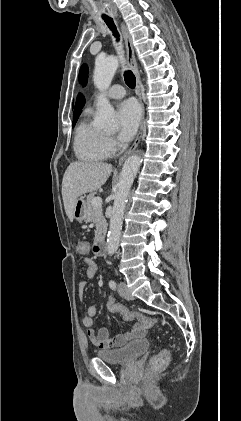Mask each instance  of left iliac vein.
I'll return each mask as SVG.
<instances>
[{
	"label": "left iliac vein",
	"instance_id": "obj_1",
	"mask_svg": "<svg viewBox=\"0 0 241 421\" xmlns=\"http://www.w3.org/2000/svg\"><path fill=\"white\" fill-rule=\"evenodd\" d=\"M118 293L126 300H133V296L129 291L125 282H120L118 287Z\"/></svg>",
	"mask_w": 241,
	"mask_h": 421
}]
</instances>
